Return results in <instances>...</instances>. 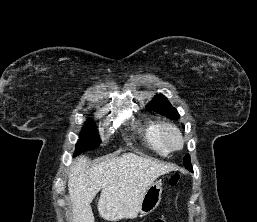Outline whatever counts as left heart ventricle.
<instances>
[{
    "mask_svg": "<svg viewBox=\"0 0 257 222\" xmlns=\"http://www.w3.org/2000/svg\"><path fill=\"white\" fill-rule=\"evenodd\" d=\"M169 140L173 145H178V143H179L176 136L172 133L169 134Z\"/></svg>",
    "mask_w": 257,
    "mask_h": 222,
    "instance_id": "b2bd125f",
    "label": "left heart ventricle"
}]
</instances>
